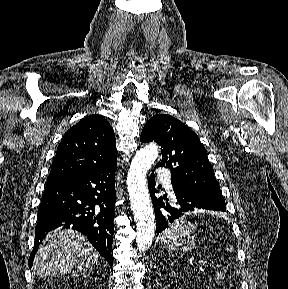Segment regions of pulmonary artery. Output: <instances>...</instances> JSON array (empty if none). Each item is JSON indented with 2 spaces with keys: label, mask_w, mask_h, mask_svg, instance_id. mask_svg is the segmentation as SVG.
<instances>
[{
  "label": "pulmonary artery",
  "mask_w": 288,
  "mask_h": 289,
  "mask_svg": "<svg viewBox=\"0 0 288 289\" xmlns=\"http://www.w3.org/2000/svg\"><path fill=\"white\" fill-rule=\"evenodd\" d=\"M157 177L163 181V183H164V185L168 191H170V192L173 191L172 180H171V175H170L169 171H167L165 169H159L157 171Z\"/></svg>",
  "instance_id": "pulmonary-artery-1"
}]
</instances>
